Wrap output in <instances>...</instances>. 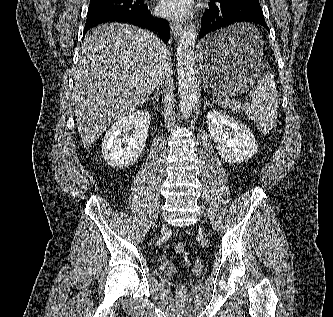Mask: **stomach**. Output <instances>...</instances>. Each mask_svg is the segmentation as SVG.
<instances>
[{
    "label": "stomach",
    "instance_id": "0dacf381",
    "mask_svg": "<svg viewBox=\"0 0 333 317\" xmlns=\"http://www.w3.org/2000/svg\"><path fill=\"white\" fill-rule=\"evenodd\" d=\"M256 40V41H253ZM262 40L256 24H227L206 33L199 47L202 80L199 88L219 97H232L263 81Z\"/></svg>",
    "mask_w": 333,
    "mask_h": 317
}]
</instances>
